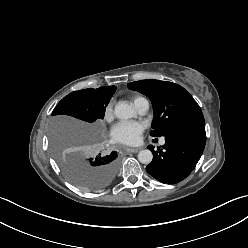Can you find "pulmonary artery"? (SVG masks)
<instances>
[{"label":"pulmonary artery","mask_w":248,"mask_h":248,"mask_svg":"<svg viewBox=\"0 0 248 248\" xmlns=\"http://www.w3.org/2000/svg\"><path fill=\"white\" fill-rule=\"evenodd\" d=\"M135 107L140 114H146L149 110V102L146 99L140 100L135 104ZM164 142V139L160 141L161 144H164Z\"/></svg>","instance_id":"1"}]
</instances>
